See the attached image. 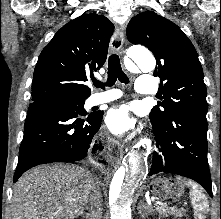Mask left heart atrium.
<instances>
[{
	"label": "left heart atrium",
	"instance_id": "39dd6f15",
	"mask_svg": "<svg viewBox=\"0 0 221 219\" xmlns=\"http://www.w3.org/2000/svg\"><path fill=\"white\" fill-rule=\"evenodd\" d=\"M105 123L110 131L122 135L135 127L136 121L128 106L121 105L110 108L105 115Z\"/></svg>",
	"mask_w": 221,
	"mask_h": 219
}]
</instances>
